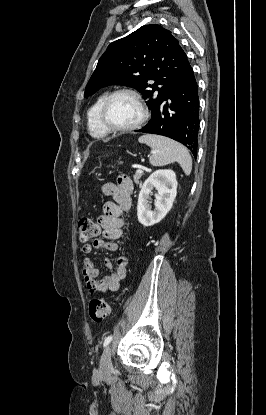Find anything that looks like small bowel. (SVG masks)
<instances>
[{"instance_id":"small-bowel-1","label":"small bowel","mask_w":266,"mask_h":415,"mask_svg":"<svg viewBox=\"0 0 266 415\" xmlns=\"http://www.w3.org/2000/svg\"><path fill=\"white\" fill-rule=\"evenodd\" d=\"M101 191L113 200L107 201L103 206V214L99 216L98 222L103 230V238L95 239L92 243L84 244L82 250L86 254L92 253L95 249H106L116 251L118 244L116 240L122 237L126 221L122 218L124 212L132 206L133 183L126 175H119L116 183L108 182L102 185ZM128 257L120 254L116 259V266L110 259H104V265L108 273L98 280L99 270L89 259L84 260L83 277L90 293L116 291L120 281L126 276Z\"/></svg>"}]
</instances>
